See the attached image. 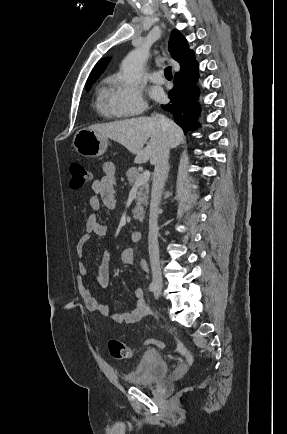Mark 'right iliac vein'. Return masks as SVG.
<instances>
[{"label": "right iliac vein", "mask_w": 287, "mask_h": 434, "mask_svg": "<svg viewBox=\"0 0 287 434\" xmlns=\"http://www.w3.org/2000/svg\"><path fill=\"white\" fill-rule=\"evenodd\" d=\"M156 284V292L158 293V295H161L162 293V284L159 282H155Z\"/></svg>", "instance_id": "obj_1"}]
</instances>
